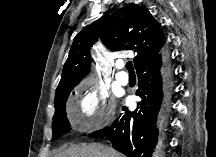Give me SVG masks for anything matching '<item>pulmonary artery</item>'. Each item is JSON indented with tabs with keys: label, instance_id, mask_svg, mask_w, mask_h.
<instances>
[{
	"label": "pulmonary artery",
	"instance_id": "obj_1",
	"mask_svg": "<svg viewBox=\"0 0 216 157\" xmlns=\"http://www.w3.org/2000/svg\"><path fill=\"white\" fill-rule=\"evenodd\" d=\"M122 67H123L122 65H117L118 69H121ZM116 79L122 85H126L129 82V77H128L127 73L123 70H119L116 73Z\"/></svg>",
	"mask_w": 216,
	"mask_h": 157
}]
</instances>
